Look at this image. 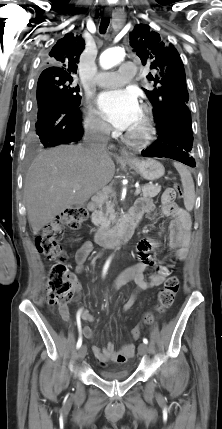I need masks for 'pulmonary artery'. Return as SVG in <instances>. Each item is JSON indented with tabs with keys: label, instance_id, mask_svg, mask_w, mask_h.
I'll return each instance as SVG.
<instances>
[{
	"label": "pulmonary artery",
	"instance_id": "1",
	"mask_svg": "<svg viewBox=\"0 0 222 429\" xmlns=\"http://www.w3.org/2000/svg\"><path fill=\"white\" fill-rule=\"evenodd\" d=\"M136 72V65L133 62L125 61L117 72H100L95 82L100 87L114 88L132 79Z\"/></svg>",
	"mask_w": 222,
	"mask_h": 429
}]
</instances>
